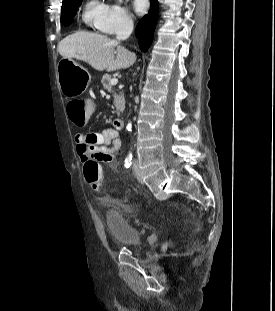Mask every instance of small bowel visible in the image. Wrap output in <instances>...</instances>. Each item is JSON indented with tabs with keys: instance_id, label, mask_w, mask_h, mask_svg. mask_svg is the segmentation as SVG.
Here are the masks:
<instances>
[{
	"instance_id": "c3829d8e",
	"label": "small bowel",
	"mask_w": 275,
	"mask_h": 311,
	"mask_svg": "<svg viewBox=\"0 0 275 311\" xmlns=\"http://www.w3.org/2000/svg\"><path fill=\"white\" fill-rule=\"evenodd\" d=\"M76 151L83 163L90 160L112 161L122 141L116 127L101 132L77 133L75 135Z\"/></svg>"
}]
</instances>
